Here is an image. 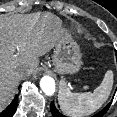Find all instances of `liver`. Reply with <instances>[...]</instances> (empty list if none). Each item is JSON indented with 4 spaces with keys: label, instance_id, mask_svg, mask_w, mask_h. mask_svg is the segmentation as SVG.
<instances>
[{
    "label": "liver",
    "instance_id": "obj_1",
    "mask_svg": "<svg viewBox=\"0 0 117 117\" xmlns=\"http://www.w3.org/2000/svg\"><path fill=\"white\" fill-rule=\"evenodd\" d=\"M61 26L49 12L0 18V111L11 101L21 69L36 70L38 57L55 46Z\"/></svg>",
    "mask_w": 117,
    "mask_h": 117
}]
</instances>
